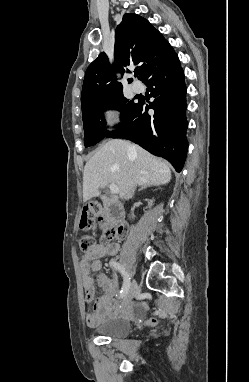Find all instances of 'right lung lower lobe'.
<instances>
[{"mask_svg": "<svg viewBox=\"0 0 249 382\" xmlns=\"http://www.w3.org/2000/svg\"><path fill=\"white\" fill-rule=\"evenodd\" d=\"M144 83L151 88L153 102L139 98L131 118L109 137L124 138L139 144L153 155L170 161L177 172L183 168L188 143L186 86L178 56L152 67ZM153 109L154 114L148 110Z\"/></svg>", "mask_w": 249, "mask_h": 382, "instance_id": "1", "label": "right lung lower lobe"}]
</instances>
